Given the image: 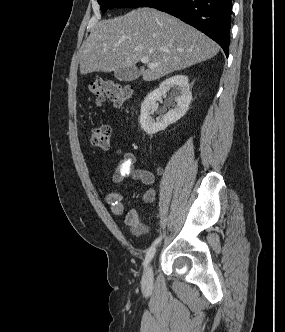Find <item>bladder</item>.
I'll return each instance as SVG.
<instances>
[{
  "instance_id": "obj_1",
  "label": "bladder",
  "mask_w": 285,
  "mask_h": 332,
  "mask_svg": "<svg viewBox=\"0 0 285 332\" xmlns=\"http://www.w3.org/2000/svg\"><path fill=\"white\" fill-rule=\"evenodd\" d=\"M131 230L135 233H139L142 231L141 228H134V227H132Z\"/></svg>"
}]
</instances>
